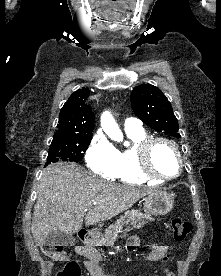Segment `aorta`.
Wrapping results in <instances>:
<instances>
[{
    "label": "aorta",
    "mask_w": 221,
    "mask_h": 276,
    "mask_svg": "<svg viewBox=\"0 0 221 276\" xmlns=\"http://www.w3.org/2000/svg\"><path fill=\"white\" fill-rule=\"evenodd\" d=\"M100 122L102 129L108 135L109 138L118 142L123 140V134L110 112L105 111L101 115Z\"/></svg>",
    "instance_id": "aorta-1"
}]
</instances>
